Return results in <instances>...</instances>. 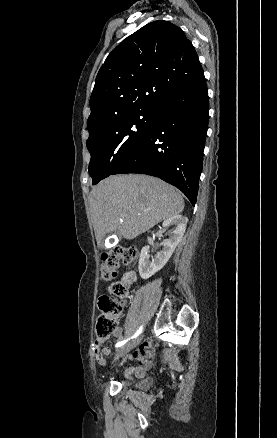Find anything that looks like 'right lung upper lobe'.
Returning a JSON list of instances; mask_svg holds the SVG:
<instances>
[{
  "label": "right lung upper lobe",
  "mask_w": 277,
  "mask_h": 438,
  "mask_svg": "<svg viewBox=\"0 0 277 438\" xmlns=\"http://www.w3.org/2000/svg\"><path fill=\"white\" fill-rule=\"evenodd\" d=\"M201 75L198 55L184 32L168 21L151 22L128 36L106 58L90 97L87 127L115 116L155 109L167 94Z\"/></svg>",
  "instance_id": "right-lung-upper-lobe-1"
}]
</instances>
